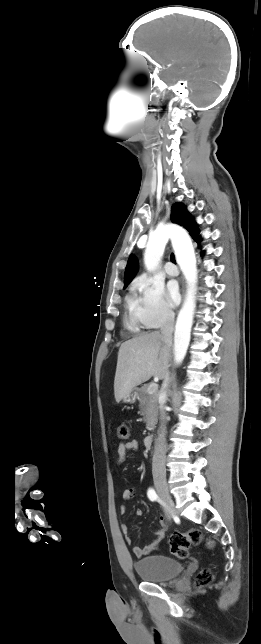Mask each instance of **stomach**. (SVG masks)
Returning a JSON list of instances; mask_svg holds the SVG:
<instances>
[{"label": "stomach", "mask_w": 261, "mask_h": 644, "mask_svg": "<svg viewBox=\"0 0 261 644\" xmlns=\"http://www.w3.org/2000/svg\"><path fill=\"white\" fill-rule=\"evenodd\" d=\"M137 396H138V390L137 389L133 390L123 397V402L133 404L135 403Z\"/></svg>", "instance_id": "obj_1"}]
</instances>
